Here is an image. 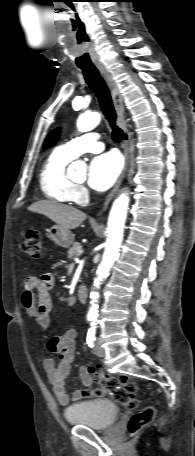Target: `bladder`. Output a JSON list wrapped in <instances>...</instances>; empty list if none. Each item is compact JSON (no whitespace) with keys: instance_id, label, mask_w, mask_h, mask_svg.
I'll return each instance as SVG.
<instances>
[{"instance_id":"bladder-1","label":"bladder","mask_w":195,"mask_h":456,"mask_svg":"<svg viewBox=\"0 0 195 456\" xmlns=\"http://www.w3.org/2000/svg\"><path fill=\"white\" fill-rule=\"evenodd\" d=\"M120 415V408L110 400L81 402L64 411L66 421L71 425L85 426L95 430L111 427Z\"/></svg>"}]
</instances>
